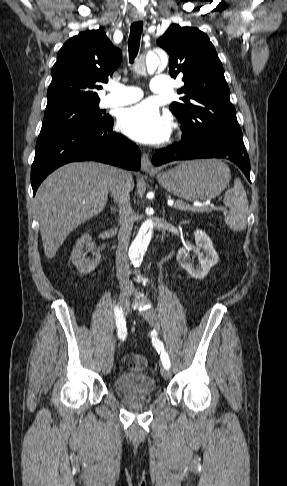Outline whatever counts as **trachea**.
<instances>
[{"mask_svg": "<svg viewBox=\"0 0 287 486\" xmlns=\"http://www.w3.org/2000/svg\"><path fill=\"white\" fill-rule=\"evenodd\" d=\"M142 31H143L142 21L135 22L131 25L130 37L128 41L130 63H132L134 58L137 56L139 46H140V38H141Z\"/></svg>", "mask_w": 287, "mask_h": 486, "instance_id": "3493384b", "label": "trachea"}]
</instances>
